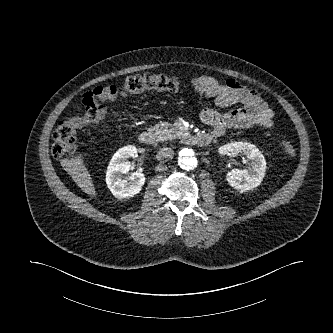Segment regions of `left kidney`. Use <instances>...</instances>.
<instances>
[{
	"label": "left kidney",
	"instance_id": "obj_1",
	"mask_svg": "<svg viewBox=\"0 0 333 333\" xmlns=\"http://www.w3.org/2000/svg\"><path fill=\"white\" fill-rule=\"evenodd\" d=\"M220 154L236 156L243 153L251 160L250 167L246 170L232 169L227 174V181L233 188L244 192L260 185L265 171L266 161L255 145L247 142H231L219 149Z\"/></svg>",
	"mask_w": 333,
	"mask_h": 333
}]
</instances>
